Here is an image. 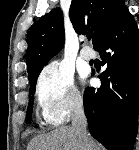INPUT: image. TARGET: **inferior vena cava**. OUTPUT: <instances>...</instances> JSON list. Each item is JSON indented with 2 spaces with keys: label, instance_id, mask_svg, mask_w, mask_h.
I'll return each instance as SVG.
<instances>
[{
  "label": "inferior vena cava",
  "instance_id": "obj_1",
  "mask_svg": "<svg viewBox=\"0 0 139 150\" xmlns=\"http://www.w3.org/2000/svg\"><path fill=\"white\" fill-rule=\"evenodd\" d=\"M72 128L78 138V141L81 145V150H86L87 147V120L84 114V110L82 108V101L77 100L76 107L74 110L73 118H72Z\"/></svg>",
  "mask_w": 139,
  "mask_h": 150
}]
</instances>
